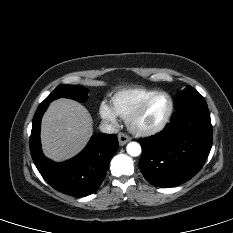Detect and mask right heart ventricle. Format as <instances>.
<instances>
[{
    "mask_svg": "<svg viewBox=\"0 0 233 233\" xmlns=\"http://www.w3.org/2000/svg\"><path fill=\"white\" fill-rule=\"evenodd\" d=\"M156 92L145 87H131L115 92L111 98V108L117 116L126 119L146 97Z\"/></svg>",
    "mask_w": 233,
    "mask_h": 233,
    "instance_id": "right-heart-ventricle-1",
    "label": "right heart ventricle"
}]
</instances>
